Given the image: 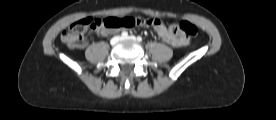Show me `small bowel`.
Masks as SVG:
<instances>
[{"label": "small bowel", "mask_w": 276, "mask_h": 120, "mask_svg": "<svg viewBox=\"0 0 276 120\" xmlns=\"http://www.w3.org/2000/svg\"><path fill=\"white\" fill-rule=\"evenodd\" d=\"M154 28L157 32V34L169 45L173 47H182L187 44V40L184 37L181 36H175L171 34L163 22L161 20L158 21V23L154 24ZM101 34L106 35V30H101ZM87 42L83 41L81 44H79V48H84L86 46Z\"/></svg>", "instance_id": "obj_1"}]
</instances>
